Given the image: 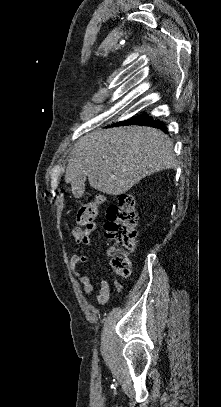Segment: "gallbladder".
Wrapping results in <instances>:
<instances>
[{
    "mask_svg": "<svg viewBox=\"0 0 221 407\" xmlns=\"http://www.w3.org/2000/svg\"><path fill=\"white\" fill-rule=\"evenodd\" d=\"M85 181H86V176H84V175H80L73 180L72 188L74 190L75 195H79L81 192H83L84 186H85Z\"/></svg>",
    "mask_w": 221,
    "mask_h": 407,
    "instance_id": "obj_1",
    "label": "gallbladder"
}]
</instances>
